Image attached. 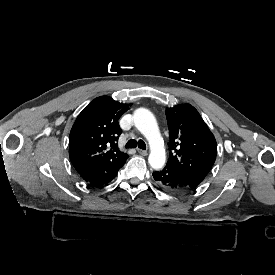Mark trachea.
Here are the masks:
<instances>
[{"instance_id": "obj_1", "label": "trachea", "mask_w": 275, "mask_h": 275, "mask_svg": "<svg viewBox=\"0 0 275 275\" xmlns=\"http://www.w3.org/2000/svg\"><path fill=\"white\" fill-rule=\"evenodd\" d=\"M139 147L140 149H143L145 150L146 149V144L143 140H138L136 141L135 139H130L126 145H125V148L127 149H132V148H136V147Z\"/></svg>"}]
</instances>
